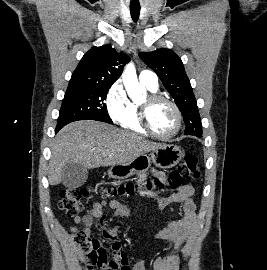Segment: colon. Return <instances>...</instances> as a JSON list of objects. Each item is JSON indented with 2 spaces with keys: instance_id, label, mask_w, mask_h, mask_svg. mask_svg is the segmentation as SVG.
Wrapping results in <instances>:
<instances>
[{
  "instance_id": "obj_1",
  "label": "colon",
  "mask_w": 267,
  "mask_h": 270,
  "mask_svg": "<svg viewBox=\"0 0 267 270\" xmlns=\"http://www.w3.org/2000/svg\"><path fill=\"white\" fill-rule=\"evenodd\" d=\"M200 176L197 156L188 153L184 156L181 165L171 172L167 181L161 179L148 180L144 182L126 183L117 187L102 189L103 196L126 195L132 193L148 194L153 190L171 189L182 186L187 180H197ZM95 191L92 186L79 188H67L61 192L59 208L68 216L81 213L91 193ZM74 239L81 250L89 270L93 268H108V270H126L127 258L108 259L100 240L89 231H78L74 233Z\"/></svg>"
}]
</instances>
